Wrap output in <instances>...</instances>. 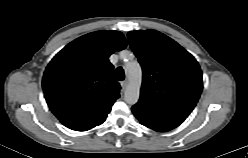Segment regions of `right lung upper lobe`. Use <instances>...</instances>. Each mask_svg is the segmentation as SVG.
<instances>
[{
	"label": "right lung upper lobe",
	"mask_w": 248,
	"mask_h": 158,
	"mask_svg": "<svg viewBox=\"0 0 248 158\" xmlns=\"http://www.w3.org/2000/svg\"><path fill=\"white\" fill-rule=\"evenodd\" d=\"M119 31H97L66 45L48 64L42 81L50 110L66 127L86 131L102 124L120 85L108 57L126 47Z\"/></svg>",
	"instance_id": "right-lung-upper-lobe-1"
}]
</instances>
